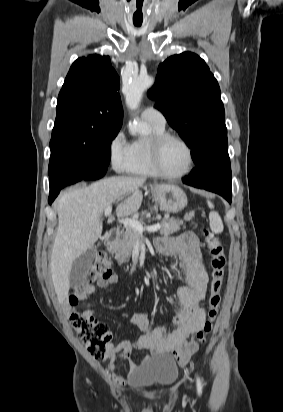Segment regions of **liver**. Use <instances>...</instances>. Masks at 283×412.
Segmentation results:
<instances>
[{"label": "liver", "instance_id": "liver-1", "mask_svg": "<svg viewBox=\"0 0 283 412\" xmlns=\"http://www.w3.org/2000/svg\"><path fill=\"white\" fill-rule=\"evenodd\" d=\"M145 181L142 177H110L68 191L59 198L58 228L50 261L52 281L59 302L67 298L73 262L91 249L102 233L101 217L105 209L117 203L118 217L136 213L142 203L139 187Z\"/></svg>", "mask_w": 283, "mask_h": 412}]
</instances>
